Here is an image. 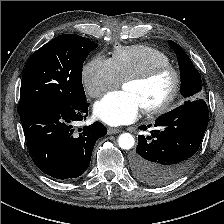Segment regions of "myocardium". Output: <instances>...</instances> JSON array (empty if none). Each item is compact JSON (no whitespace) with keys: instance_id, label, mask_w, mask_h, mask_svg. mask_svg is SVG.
<instances>
[{"instance_id":"f54148a6","label":"myocardium","mask_w":224,"mask_h":224,"mask_svg":"<svg viewBox=\"0 0 224 224\" xmlns=\"http://www.w3.org/2000/svg\"><path fill=\"white\" fill-rule=\"evenodd\" d=\"M166 72L170 73L173 79L171 90L167 97L160 103L143 108L145 114L154 115L163 113L174 104L181 91L182 75L180 70L170 63L154 65L142 73L133 75L125 80V84L132 82L145 83Z\"/></svg>"}]
</instances>
